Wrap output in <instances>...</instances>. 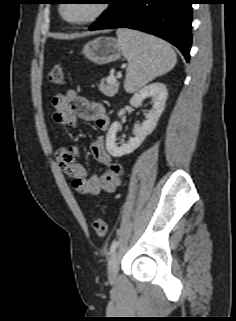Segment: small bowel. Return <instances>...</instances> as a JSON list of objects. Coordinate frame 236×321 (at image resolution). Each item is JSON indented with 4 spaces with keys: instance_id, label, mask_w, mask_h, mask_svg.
Here are the masks:
<instances>
[{
    "instance_id": "1",
    "label": "small bowel",
    "mask_w": 236,
    "mask_h": 321,
    "mask_svg": "<svg viewBox=\"0 0 236 321\" xmlns=\"http://www.w3.org/2000/svg\"><path fill=\"white\" fill-rule=\"evenodd\" d=\"M53 119L66 126H77L80 120L93 122L99 131H106L110 120L104 106L97 101H90L71 90L66 95L58 94L52 98ZM77 147L58 146L56 156L62 171L72 180L74 190L82 195L111 193L120 183L123 166L114 161L107 152L104 140L98 136L90 145L94 159L105 167L101 175L88 176L86 168L75 161Z\"/></svg>"
}]
</instances>
